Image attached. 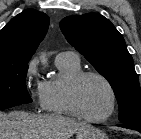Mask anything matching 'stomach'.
Listing matches in <instances>:
<instances>
[{
    "instance_id": "obj_1",
    "label": "stomach",
    "mask_w": 141,
    "mask_h": 139,
    "mask_svg": "<svg viewBox=\"0 0 141 139\" xmlns=\"http://www.w3.org/2000/svg\"><path fill=\"white\" fill-rule=\"evenodd\" d=\"M76 139H108V137L98 128L87 126L77 132Z\"/></svg>"
}]
</instances>
